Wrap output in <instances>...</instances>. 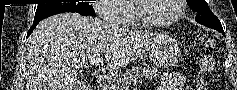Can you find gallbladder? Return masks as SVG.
<instances>
[{"label":"gallbladder","mask_w":237,"mask_h":90,"mask_svg":"<svg viewBox=\"0 0 237 90\" xmlns=\"http://www.w3.org/2000/svg\"><path fill=\"white\" fill-rule=\"evenodd\" d=\"M82 90H85L84 86H81Z\"/></svg>","instance_id":"gallbladder-1"}]
</instances>
